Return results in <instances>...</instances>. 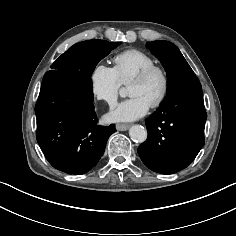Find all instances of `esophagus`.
<instances>
[{"label":"esophagus","instance_id":"obj_1","mask_svg":"<svg viewBox=\"0 0 236 236\" xmlns=\"http://www.w3.org/2000/svg\"><path fill=\"white\" fill-rule=\"evenodd\" d=\"M130 126L128 124H116L118 131H126Z\"/></svg>","mask_w":236,"mask_h":236}]
</instances>
